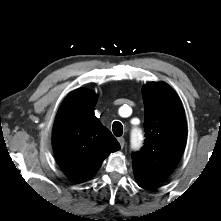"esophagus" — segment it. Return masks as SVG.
<instances>
[{"instance_id":"1","label":"esophagus","mask_w":221,"mask_h":221,"mask_svg":"<svg viewBox=\"0 0 221 221\" xmlns=\"http://www.w3.org/2000/svg\"><path fill=\"white\" fill-rule=\"evenodd\" d=\"M118 142H119L121 148H123L124 145H125V139H124L123 137H119V138H118Z\"/></svg>"}]
</instances>
